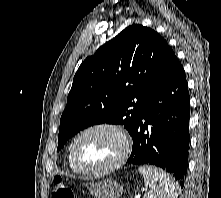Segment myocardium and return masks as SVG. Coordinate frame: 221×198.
<instances>
[{
	"label": "myocardium",
	"instance_id": "myocardium-1",
	"mask_svg": "<svg viewBox=\"0 0 221 198\" xmlns=\"http://www.w3.org/2000/svg\"><path fill=\"white\" fill-rule=\"evenodd\" d=\"M102 129L110 130L114 132L120 138L122 142L121 152L113 163L105 167L98 168V169L86 168L83 165H81L80 162L78 161L77 153H76L77 143L87 133L95 131V130H102ZM130 152H131V141L127 132L121 126L117 124H113V123H108V122L96 123V124H93L84 128L76 135V137L73 139L71 146H70V155H71V161L73 165L80 173L85 174V175H90V176L105 175V174H108L110 172L117 170L126 162V160L128 159L130 155Z\"/></svg>",
	"mask_w": 221,
	"mask_h": 198
}]
</instances>
